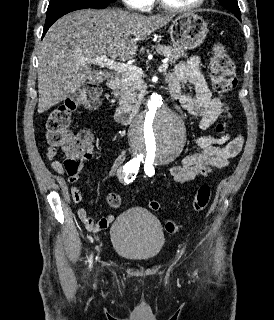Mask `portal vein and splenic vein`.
Wrapping results in <instances>:
<instances>
[{
    "label": "portal vein and splenic vein",
    "mask_w": 274,
    "mask_h": 320,
    "mask_svg": "<svg viewBox=\"0 0 274 320\" xmlns=\"http://www.w3.org/2000/svg\"><path fill=\"white\" fill-rule=\"evenodd\" d=\"M80 62H86V64H94V66H101V68H108V70H114V72H120L124 76H131V78H141L143 76V70L136 68V66H130V64H121V62H115V60H109L105 54H100L97 58H81ZM168 58L162 60L163 70H167Z\"/></svg>",
    "instance_id": "obj_1"
}]
</instances>
